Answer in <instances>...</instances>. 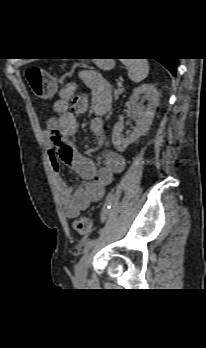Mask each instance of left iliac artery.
<instances>
[{
    "instance_id": "left-iliac-artery-1",
    "label": "left iliac artery",
    "mask_w": 206,
    "mask_h": 348,
    "mask_svg": "<svg viewBox=\"0 0 206 348\" xmlns=\"http://www.w3.org/2000/svg\"><path fill=\"white\" fill-rule=\"evenodd\" d=\"M113 197H115V192H113V190H110V194H108L106 197V205H103V209H101L102 220H105L108 217V214L110 213ZM95 242L96 239L87 241L85 243L84 252H87L89 249H91Z\"/></svg>"
}]
</instances>
